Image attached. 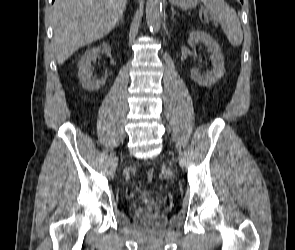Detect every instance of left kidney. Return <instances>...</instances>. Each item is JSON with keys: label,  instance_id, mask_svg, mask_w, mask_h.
<instances>
[{"label": "left kidney", "instance_id": "obj_1", "mask_svg": "<svg viewBox=\"0 0 295 250\" xmlns=\"http://www.w3.org/2000/svg\"><path fill=\"white\" fill-rule=\"evenodd\" d=\"M203 43L211 53L210 61L212 69L210 72L201 74L198 70H191V78L203 86L215 84L224 75V56L216 40L204 31L193 30L189 34L188 44Z\"/></svg>", "mask_w": 295, "mask_h": 250}]
</instances>
